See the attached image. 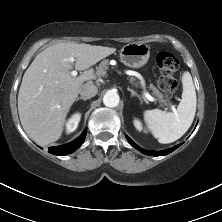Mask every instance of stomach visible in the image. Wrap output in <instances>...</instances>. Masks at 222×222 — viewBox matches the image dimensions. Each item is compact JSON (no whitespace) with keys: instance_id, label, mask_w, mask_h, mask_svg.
I'll use <instances>...</instances> for the list:
<instances>
[{"instance_id":"1","label":"stomach","mask_w":222,"mask_h":222,"mask_svg":"<svg viewBox=\"0 0 222 222\" xmlns=\"http://www.w3.org/2000/svg\"><path fill=\"white\" fill-rule=\"evenodd\" d=\"M150 57V47L144 42H133L122 47L120 61L131 68L144 66Z\"/></svg>"}]
</instances>
